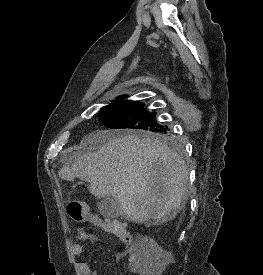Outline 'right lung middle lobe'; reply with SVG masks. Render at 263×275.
<instances>
[{
  "mask_svg": "<svg viewBox=\"0 0 263 275\" xmlns=\"http://www.w3.org/2000/svg\"><path fill=\"white\" fill-rule=\"evenodd\" d=\"M125 97H118L116 102L99 111L98 116L105 126L112 129L137 130L143 137L151 135L160 142L178 145L176 137L156 121L155 112L144 109L140 102L124 100Z\"/></svg>",
  "mask_w": 263,
  "mask_h": 275,
  "instance_id": "dd1d6c3e",
  "label": "right lung middle lobe"
}]
</instances>
